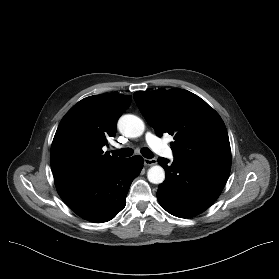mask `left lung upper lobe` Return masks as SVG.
<instances>
[{"label": "left lung upper lobe", "instance_id": "1", "mask_svg": "<svg viewBox=\"0 0 279 279\" xmlns=\"http://www.w3.org/2000/svg\"><path fill=\"white\" fill-rule=\"evenodd\" d=\"M134 100L158 136L174 135L175 158L231 166L227 130L218 113L183 89L137 91Z\"/></svg>", "mask_w": 279, "mask_h": 279}]
</instances>
